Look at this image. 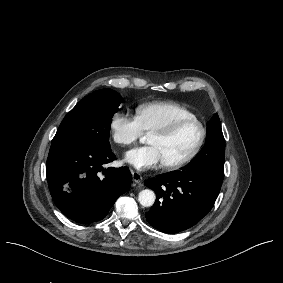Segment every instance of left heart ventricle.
<instances>
[{
  "instance_id": "left-heart-ventricle-1",
  "label": "left heart ventricle",
  "mask_w": 283,
  "mask_h": 283,
  "mask_svg": "<svg viewBox=\"0 0 283 283\" xmlns=\"http://www.w3.org/2000/svg\"><path fill=\"white\" fill-rule=\"evenodd\" d=\"M199 127L195 123L182 125L169 139L151 135L149 143L160 148L165 163H176L183 160L194 148L199 138Z\"/></svg>"
}]
</instances>
